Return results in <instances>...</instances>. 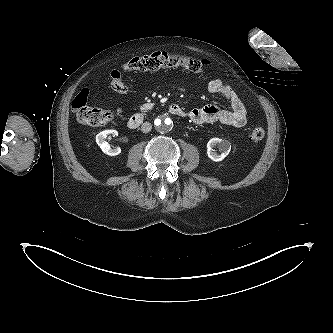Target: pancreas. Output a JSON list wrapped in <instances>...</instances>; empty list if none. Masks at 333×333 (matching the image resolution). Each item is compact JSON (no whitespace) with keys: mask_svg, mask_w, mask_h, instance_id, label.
Returning <instances> with one entry per match:
<instances>
[{"mask_svg":"<svg viewBox=\"0 0 333 333\" xmlns=\"http://www.w3.org/2000/svg\"><path fill=\"white\" fill-rule=\"evenodd\" d=\"M154 106V103H145L143 105L140 106V110L141 111H148V110H151Z\"/></svg>","mask_w":333,"mask_h":333,"instance_id":"cf45deb5","label":"pancreas"}]
</instances>
